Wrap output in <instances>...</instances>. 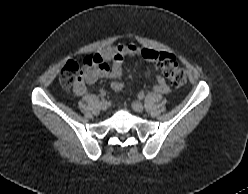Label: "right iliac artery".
<instances>
[{
    "instance_id": "82829eb1",
    "label": "right iliac artery",
    "mask_w": 248,
    "mask_h": 194,
    "mask_svg": "<svg viewBox=\"0 0 248 194\" xmlns=\"http://www.w3.org/2000/svg\"><path fill=\"white\" fill-rule=\"evenodd\" d=\"M105 95H106L105 93L102 94V100L101 101L104 100Z\"/></svg>"
}]
</instances>
